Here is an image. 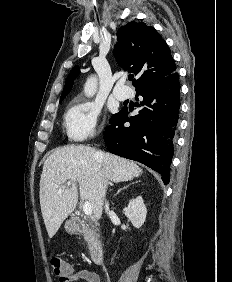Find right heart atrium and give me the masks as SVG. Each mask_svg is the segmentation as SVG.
<instances>
[{
  "instance_id": "obj_1",
  "label": "right heart atrium",
  "mask_w": 232,
  "mask_h": 282,
  "mask_svg": "<svg viewBox=\"0 0 232 282\" xmlns=\"http://www.w3.org/2000/svg\"><path fill=\"white\" fill-rule=\"evenodd\" d=\"M100 111L91 102L76 99L65 115V129L73 142H83L93 137L97 130Z\"/></svg>"
}]
</instances>
